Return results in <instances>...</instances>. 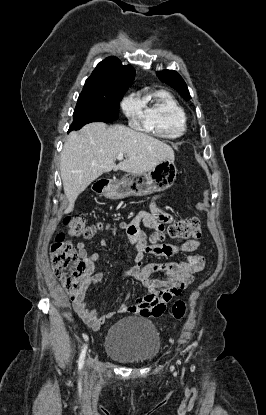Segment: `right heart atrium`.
Here are the masks:
<instances>
[{"label":"right heart atrium","mask_w":266,"mask_h":415,"mask_svg":"<svg viewBox=\"0 0 266 415\" xmlns=\"http://www.w3.org/2000/svg\"><path fill=\"white\" fill-rule=\"evenodd\" d=\"M121 108L125 116L132 122L135 121L141 114L139 99L134 94H131L123 99Z\"/></svg>","instance_id":"1"}]
</instances>
